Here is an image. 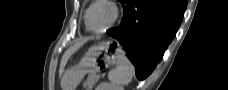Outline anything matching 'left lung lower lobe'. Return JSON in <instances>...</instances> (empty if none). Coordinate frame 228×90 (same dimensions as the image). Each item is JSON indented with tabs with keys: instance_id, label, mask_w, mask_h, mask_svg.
<instances>
[{
	"instance_id": "0a47b994",
	"label": "left lung lower lobe",
	"mask_w": 228,
	"mask_h": 90,
	"mask_svg": "<svg viewBox=\"0 0 228 90\" xmlns=\"http://www.w3.org/2000/svg\"><path fill=\"white\" fill-rule=\"evenodd\" d=\"M186 6V0H128L120 26L107 31L124 46L139 80L149 76L162 58Z\"/></svg>"
}]
</instances>
